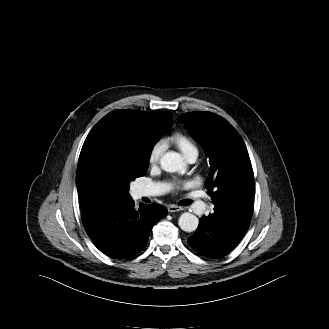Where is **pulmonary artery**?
Here are the masks:
<instances>
[{"label":"pulmonary artery","mask_w":329,"mask_h":329,"mask_svg":"<svg viewBox=\"0 0 329 329\" xmlns=\"http://www.w3.org/2000/svg\"><path fill=\"white\" fill-rule=\"evenodd\" d=\"M197 158V154H193L188 158L189 162H194ZM166 191V187L161 184H145L139 185L137 187L138 197H152L163 194ZM192 208L197 211L198 209H204V204L202 202H195Z\"/></svg>","instance_id":"e3ab8cb5"}]
</instances>
